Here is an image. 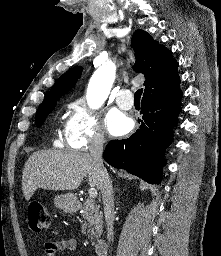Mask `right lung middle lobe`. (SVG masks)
Returning a JSON list of instances; mask_svg holds the SVG:
<instances>
[{
	"label": "right lung middle lobe",
	"mask_w": 221,
	"mask_h": 256,
	"mask_svg": "<svg viewBox=\"0 0 221 256\" xmlns=\"http://www.w3.org/2000/svg\"><path fill=\"white\" fill-rule=\"evenodd\" d=\"M58 100L59 97L54 96L42 102L36 113L37 127H40L44 123L47 115L55 108Z\"/></svg>",
	"instance_id": "obj_1"
}]
</instances>
